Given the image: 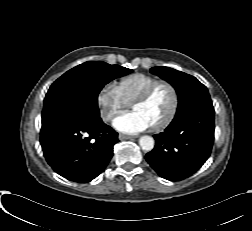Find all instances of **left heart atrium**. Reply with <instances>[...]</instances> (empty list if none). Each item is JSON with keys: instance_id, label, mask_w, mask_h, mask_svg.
Segmentation results:
<instances>
[{"instance_id": "left-heart-atrium-1", "label": "left heart atrium", "mask_w": 252, "mask_h": 231, "mask_svg": "<svg viewBox=\"0 0 252 231\" xmlns=\"http://www.w3.org/2000/svg\"><path fill=\"white\" fill-rule=\"evenodd\" d=\"M113 127L122 133L135 134L151 127L147 119L139 112L122 114L113 120Z\"/></svg>"}]
</instances>
